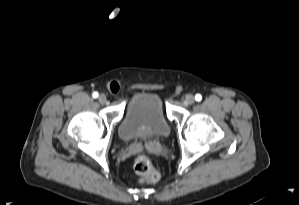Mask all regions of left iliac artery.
Segmentation results:
<instances>
[{"mask_svg":"<svg viewBox=\"0 0 299 205\" xmlns=\"http://www.w3.org/2000/svg\"><path fill=\"white\" fill-rule=\"evenodd\" d=\"M201 99H202V96H201L200 94H196V95H195V100H196V101L199 102V101H201Z\"/></svg>","mask_w":299,"mask_h":205,"instance_id":"left-iliac-artery-1","label":"left iliac artery"}]
</instances>
